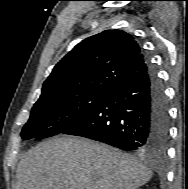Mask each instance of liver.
Returning <instances> with one entry per match:
<instances>
[{
	"label": "liver",
	"instance_id": "liver-1",
	"mask_svg": "<svg viewBox=\"0 0 188 189\" xmlns=\"http://www.w3.org/2000/svg\"><path fill=\"white\" fill-rule=\"evenodd\" d=\"M151 177L142 162L116 148L62 136L22 156L14 189H137Z\"/></svg>",
	"mask_w": 188,
	"mask_h": 189
}]
</instances>
